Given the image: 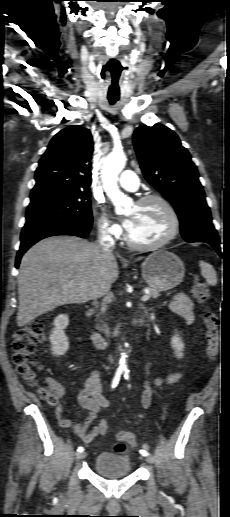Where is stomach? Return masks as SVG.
<instances>
[{
	"label": "stomach",
	"instance_id": "1",
	"mask_svg": "<svg viewBox=\"0 0 230 517\" xmlns=\"http://www.w3.org/2000/svg\"><path fill=\"white\" fill-rule=\"evenodd\" d=\"M185 274L181 259L172 252L159 250L149 255L142 264V276L146 283L159 291H167L179 285Z\"/></svg>",
	"mask_w": 230,
	"mask_h": 517
}]
</instances>
